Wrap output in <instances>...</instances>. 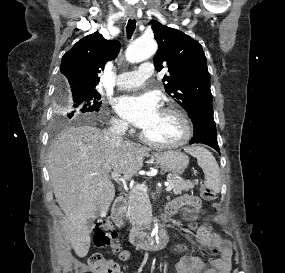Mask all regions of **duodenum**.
I'll return each mask as SVG.
<instances>
[{
    "mask_svg": "<svg viewBox=\"0 0 285 273\" xmlns=\"http://www.w3.org/2000/svg\"><path fill=\"white\" fill-rule=\"evenodd\" d=\"M126 210V199L123 196H118L115 200V204L113 207V216L114 219L119 222L120 219L124 216ZM173 214H169L167 212V216H165V221H168L169 216ZM130 243L140 249H149L151 248V242H155V248H162L168 242V230L163 228L156 238H152L149 233L133 230L129 234Z\"/></svg>",
    "mask_w": 285,
    "mask_h": 273,
    "instance_id": "duodenum-1",
    "label": "duodenum"
}]
</instances>
